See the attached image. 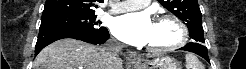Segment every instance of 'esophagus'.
<instances>
[{"label": "esophagus", "instance_id": "esophagus-1", "mask_svg": "<svg viewBox=\"0 0 246 69\" xmlns=\"http://www.w3.org/2000/svg\"><path fill=\"white\" fill-rule=\"evenodd\" d=\"M128 58L130 61L134 62L138 59L137 53L135 51H128Z\"/></svg>", "mask_w": 246, "mask_h": 69}]
</instances>
